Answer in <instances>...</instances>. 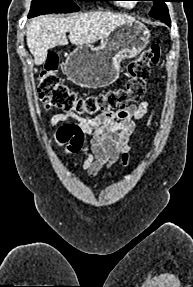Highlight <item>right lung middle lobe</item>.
Instances as JSON below:
<instances>
[{
  "instance_id": "1",
  "label": "right lung middle lobe",
  "mask_w": 193,
  "mask_h": 287,
  "mask_svg": "<svg viewBox=\"0 0 193 287\" xmlns=\"http://www.w3.org/2000/svg\"><path fill=\"white\" fill-rule=\"evenodd\" d=\"M77 1H102V0H77ZM78 6L71 0H32L29 17L49 13H70L78 11Z\"/></svg>"
}]
</instances>
